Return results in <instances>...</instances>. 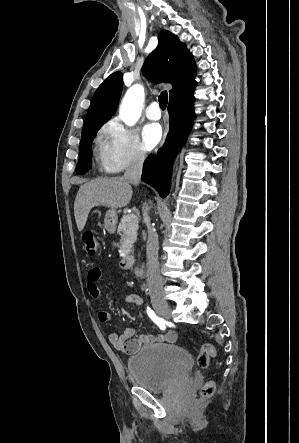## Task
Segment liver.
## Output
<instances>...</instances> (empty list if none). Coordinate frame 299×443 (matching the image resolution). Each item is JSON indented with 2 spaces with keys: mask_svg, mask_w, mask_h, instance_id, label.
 <instances>
[{
  "mask_svg": "<svg viewBox=\"0 0 299 443\" xmlns=\"http://www.w3.org/2000/svg\"><path fill=\"white\" fill-rule=\"evenodd\" d=\"M133 190L128 180L123 177L96 178L80 186L74 202V216L78 230L81 232L92 208L126 207Z\"/></svg>",
  "mask_w": 299,
  "mask_h": 443,
  "instance_id": "obj_1",
  "label": "liver"
}]
</instances>
